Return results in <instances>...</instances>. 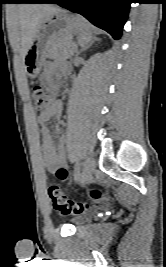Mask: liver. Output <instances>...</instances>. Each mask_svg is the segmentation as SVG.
I'll list each match as a JSON object with an SVG mask.
<instances>
[{
  "label": "liver",
  "instance_id": "liver-1",
  "mask_svg": "<svg viewBox=\"0 0 166 267\" xmlns=\"http://www.w3.org/2000/svg\"><path fill=\"white\" fill-rule=\"evenodd\" d=\"M59 10L58 7L48 4H22L18 6L12 42L22 57L25 56L35 38L40 20Z\"/></svg>",
  "mask_w": 166,
  "mask_h": 267
}]
</instances>
